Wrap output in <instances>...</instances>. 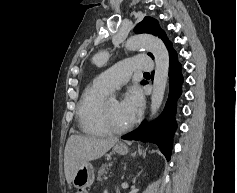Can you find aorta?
Returning <instances> with one entry per match:
<instances>
[{
	"label": "aorta",
	"instance_id": "762f6f07",
	"mask_svg": "<svg viewBox=\"0 0 237 193\" xmlns=\"http://www.w3.org/2000/svg\"><path fill=\"white\" fill-rule=\"evenodd\" d=\"M126 47L135 51L145 48L150 51L155 60V73L153 80V90L151 95V118L159 110L165 93V88L169 74V53L161 39L150 34H138L131 36Z\"/></svg>",
	"mask_w": 237,
	"mask_h": 193
}]
</instances>
